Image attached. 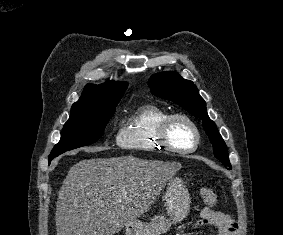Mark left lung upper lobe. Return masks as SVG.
<instances>
[{"instance_id":"5c2ea615","label":"left lung upper lobe","mask_w":283,"mask_h":235,"mask_svg":"<svg viewBox=\"0 0 283 235\" xmlns=\"http://www.w3.org/2000/svg\"><path fill=\"white\" fill-rule=\"evenodd\" d=\"M148 85L154 95L170 100L200 118L213 144L215 157L224 165H231L226 144L215 123L209 118L206 102L199 95V91L192 81L183 79L176 72H164L153 75L149 79Z\"/></svg>"}]
</instances>
